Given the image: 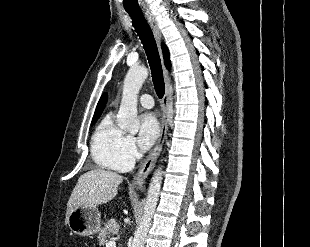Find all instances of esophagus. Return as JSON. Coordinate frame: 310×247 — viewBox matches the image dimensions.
<instances>
[{"label": "esophagus", "mask_w": 310, "mask_h": 247, "mask_svg": "<svg viewBox=\"0 0 310 247\" xmlns=\"http://www.w3.org/2000/svg\"><path fill=\"white\" fill-rule=\"evenodd\" d=\"M146 18L150 24V27L152 28V31L154 33V36L160 44L161 41V32L158 26V23L155 19V17L150 14L146 13ZM164 80H165V94L162 100V110H163V117H162V124H161V132L159 139L154 147V149L151 151V153L147 156L145 161L143 162L142 166L140 167L139 171L133 178V185L137 188L142 187V182L146 179L148 174L153 169L160 153L163 147V143L165 141L167 131H168V110H169V103H170V87H171V81L169 72L164 67Z\"/></svg>", "instance_id": "34e87169"}]
</instances>
